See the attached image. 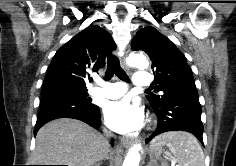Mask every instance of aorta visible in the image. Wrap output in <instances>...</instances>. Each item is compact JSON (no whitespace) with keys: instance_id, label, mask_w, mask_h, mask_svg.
Here are the masks:
<instances>
[{"instance_id":"obj_1","label":"aorta","mask_w":236,"mask_h":166,"mask_svg":"<svg viewBox=\"0 0 236 166\" xmlns=\"http://www.w3.org/2000/svg\"><path fill=\"white\" fill-rule=\"evenodd\" d=\"M128 64L131 67H136L138 69L144 70L148 68L149 62L146 57L142 54H131L128 58ZM140 144H134L129 150L127 156L125 157L122 166H139L140 162Z\"/></svg>"}]
</instances>
